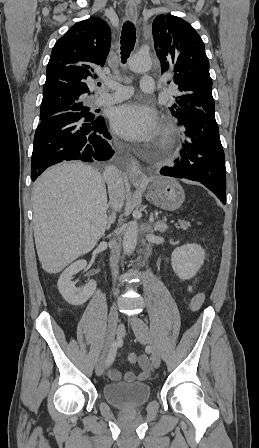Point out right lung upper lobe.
<instances>
[{
    "instance_id": "cb5924a9",
    "label": "right lung upper lobe",
    "mask_w": 259,
    "mask_h": 448,
    "mask_svg": "<svg viewBox=\"0 0 259 448\" xmlns=\"http://www.w3.org/2000/svg\"><path fill=\"white\" fill-rule=\"evenodd\" d=\"M111 30L98 17L74 24L52 49L40 114L82 105L91 94L86 80L97 78L110 50Z\"/></svg>"
}]
</instances>
